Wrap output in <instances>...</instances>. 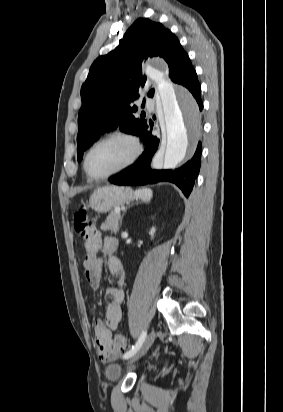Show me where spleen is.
<instances>
[{
  "label": "spleen",
  "mask_w": 283,
  "mask_h": 412,
  "mask_svg": "<svg viewBox=\"0 0 283 412\" xmlns=\"http://www.w3.org/2000/svg\"><path fill=\"white\" fill-rule=\"evenodd\" d=\"M135 195L142 200L149 201L152 198V190L148 188L138 189L135 191Z\"/></svg>",
  "instance_id": "3e777b00"
}]
</instances>
